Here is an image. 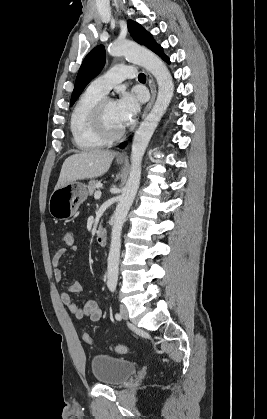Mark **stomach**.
Returning a JSON list of instances; mask_svg holds the SVG:
<instances>
[{"label": "stomach", "instance_id": "stomach-1", "mask_svg": "<svg viewBox=\"0 0 267 419\" xmlns=\"http://www.w3.org/2000/svg\"><path fill=\"white\" fill-rule=\"evenodd\" d=\"M118 164L123 161L117 160ZM88 192L85 184L73 181L55 189L49 199V212L58 220H65L75 215L79 206L87 198Z\"/></svg>", "mask_w": 267, "mask_h": 419}]
</instances>
